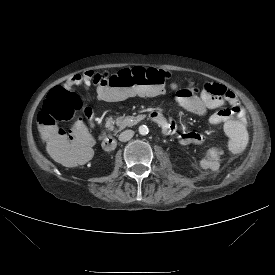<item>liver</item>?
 <instances>
[{
    "instance_id": "obj_1",
    "label": "liver",
    "mask_w": 275,
    "mask_h": 275,
    "mask_svg": "<svg viewBox=\"0 0 275 275\" xmlns=\"http://www.w3.org/2000/svg\"><path fill=\"white\" fill-rule=\"evenodd\" d=\"M38 130H39V132H40L41 134L43 133V128H42V126L39 125Z\"/></svg>"
}]
</instances>
